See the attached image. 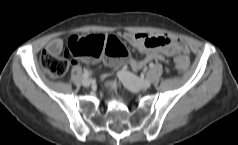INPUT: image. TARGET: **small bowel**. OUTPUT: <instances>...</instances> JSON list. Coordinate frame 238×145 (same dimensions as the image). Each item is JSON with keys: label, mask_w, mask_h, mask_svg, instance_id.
Returning a JSON list of instances; mask_svg holds the SVG:
<instances>
[{"label": "small bowel", "mask_w": 238, "mask_h": 145, "mask_svg": "<svg viewBox=\"0 0 238 145\" xmlns=\"http://www.w3.org/2000/svg\"><path fill=\"white\" fill-rule=\"evenodd\" d=\"M120 36L128 41L132 46L144 54L142 59H128L126 64H129L134 71H139L151 61H164L166 56H172L175 53L186 55L188 49L183 40L177 37L167 36H150L144 33H120ZM55 48V49H54ZM62 48L60 39H53L47 45V50L54 54H59ZM84 61L95 63L98 61ZM76 64V62H73Z\"/></svg>", "instance_id": "c3829d8e"}]
</instances>
